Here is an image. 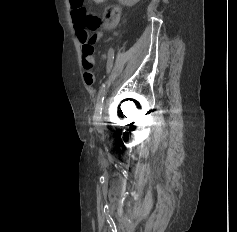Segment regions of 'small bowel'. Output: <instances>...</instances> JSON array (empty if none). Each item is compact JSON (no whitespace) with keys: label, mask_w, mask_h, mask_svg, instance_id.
Here are the masks:
<instances>
[{"label":"small bowel","mask_w":237,"mask_h":232,"mask_svg":"<svg viewBox=\"0 0 237 232\" xmlns=\"http://www.w3.org/2000/svg\"><path fill=\"white\" fill-rule=\"evenodd\" d=\"M93 2L97 4H101L106 2V0H93ZM117 14L114 18L106 20L104 27L107 30L113 29L119 22L120 20V9L117 6H112ZM79 41L82 44V53H83V58H82V65H83V79L84 82L90 86L94 82V65H95V60L93 57V51H94V46L91 41L82 39L78 36Z\"/></svg>","instance_id":"obj_1"}]
</instances>
